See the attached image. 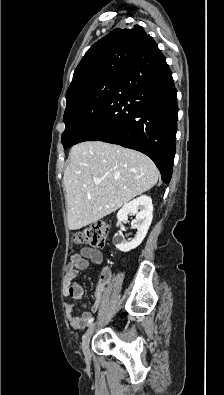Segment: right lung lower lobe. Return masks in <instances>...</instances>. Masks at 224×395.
I'll list each match as a JSON object with an SVG mask.
<instances>
[{"instance_id": "1", "label": "right lung lower lobe", "mask_w": 224, "mask_h": 395, "mask_svg": "<svg viewBox=\"0 0 224 395\" xmlns=\"http://www.w3.org/2000/svg\"><path fill=\"white\" fill-rule=\"evenodd\" d=\"M177 91L157 44L148 37L103 109L77 143L103 141L149 156L169 183L175 156Z\"/></svg>"}]
</instances>
